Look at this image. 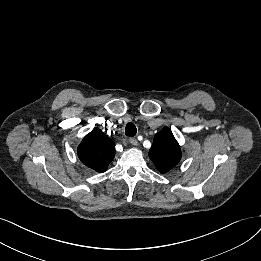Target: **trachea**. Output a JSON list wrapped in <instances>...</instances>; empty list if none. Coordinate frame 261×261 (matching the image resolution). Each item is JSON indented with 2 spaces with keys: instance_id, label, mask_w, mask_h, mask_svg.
Masks as SVG:
<instances>
[{
  "instance_id": "1",
  "label": "trachea",
  "mask_w": 261,
  "mask_h": 261,
  "mask_svg": "<svg viewBox=\"0 0 261 261\" xmlns=\"http://www.w3.org/2000/svg\"><path fill=\"white\" fill-rule=\"evenodd\" d=\"M137 133V129H136V126L133 124V123H128L126 125V128H125V134L126 136L128 137H133L135 136Z\"/></svg>"
}]
</instances>
